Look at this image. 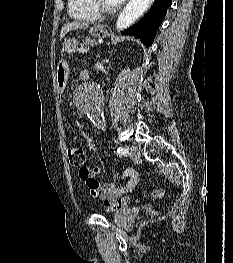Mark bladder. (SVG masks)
Listing matches in <instances>:
<instances>
[{
	"instance_id": "obj_1",
	"label": "bladder",
	"mask_w": 233,
	"mask_h": 263,
	"mask_svg": "<svg viewBox=\"0 0 233 263\" xmlns=\"http://www.w3.org/2000/svg\"><path fill=\"white\" fill-rule=\"evenodd\" d=\"M136 217L137 215L133 210L124 208L114 213L113 222L122 228L128 229L134 224Z\"/></svg>"
}]
</instances>
